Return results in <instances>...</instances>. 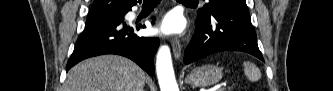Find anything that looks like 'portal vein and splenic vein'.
<instances>
[{
  "mask_svg": "<svg viewBox=\"0 0 333 91\" xmlns=\"http://www.w3.org/2000/svg\"><path fill=\"white\" fill-rule=\"evenodd\" d=\"M224 90V87L222 86H215L213 88L208 89L207 91H222Z\"/></svg>",
  "mask_w": 333,
  "mask_h": 91,
  "instance_id": "obj_1",
  "label": "portal vein and splenic vein"
}]
</instances>
